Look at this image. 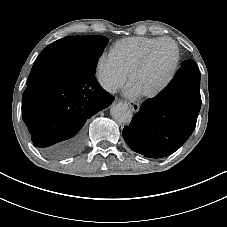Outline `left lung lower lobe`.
I'll return each instance as SVG.
<instances>
[{"label": "left lung lower lobe", "mask_w": 227, "mask_h": 227, "mask_svg": "<svg viewBox=\"0 0 227 227\" xmlns=\"http://www.w3.org/2000/svg\"><path fill=\"white\" fill-rule=\"evenodd\" d=\"M200 77L196 62L186 60L168 86L141 105L130 125L123 129V137L133 151L162 158L186 142L201 107Z\"/></svg>", "instance_id": "left-lung-lower-lobe-1"}]
</instances>
